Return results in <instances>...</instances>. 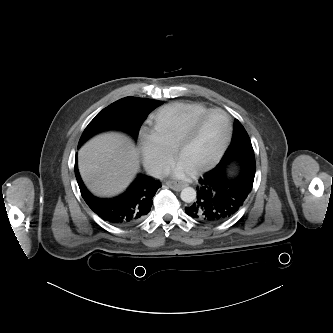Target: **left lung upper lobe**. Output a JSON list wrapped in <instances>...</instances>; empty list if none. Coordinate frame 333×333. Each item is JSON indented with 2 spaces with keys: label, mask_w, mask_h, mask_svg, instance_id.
Wrapping results in <instances>:
<instances>
[{
  "label": "left lung upper lobe",
  "mask_w": 333,
  "mask_h": 333,
  "mask_svg": "<svg viewBox=\"0 0 333 333\" xmlns=\"http://www.w3.org/2000/svg\"><path fill=\"white\" fill-rule=\"evenodd\" d=\"M244 156L254 157V151L246 130L241 125V123L236 120L231 144L226 150L220 163L227 160L238 159Z\"/></svg>",
  "instance_id": "obj_1"
}]
</instances>
